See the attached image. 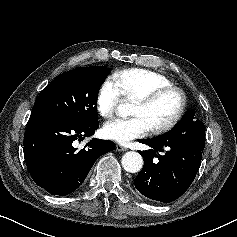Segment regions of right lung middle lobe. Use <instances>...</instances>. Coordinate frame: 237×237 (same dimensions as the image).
I'll list each match as a JSON object with an SVG mask.
<instances>
[{
	"label": "right lung middle lobe",
	"instance_id": "1",
	"mask_svg": "<svg viewBox=\"0 0 237 237\" xmlns=\"http://www.w3.org/2000/svg\"><path fill=\"white\" fill-rule=\"evenodd\" d=\"M109 73L105 66L62 73L42 90L32 112H45L80 124L98 122L97 95Z\"/></svg>",
	"mask_w": 237,
	"mask_h": 237
}]
</instances>
